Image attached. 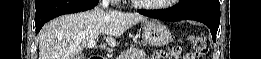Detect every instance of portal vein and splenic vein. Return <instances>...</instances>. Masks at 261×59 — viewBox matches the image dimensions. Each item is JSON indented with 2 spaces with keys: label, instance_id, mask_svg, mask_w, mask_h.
<instances>
[{
  "label": "portal vein and splenic vein",
  "instance_id": "1",
  "mask_svg": "<svg viewBox=\"0 0 261 59\" xmlns=\"http://www.w3.org/2000/svg\"><path fill=\"white\" fill-rule=\"evenodd\" d=\"M87 46L88 48H94L96 46V40H91Z\"/></svg>",
  "mask_w": 261,
  "mask_h": 59
}]
</instances>
